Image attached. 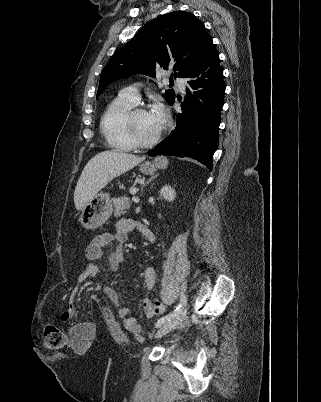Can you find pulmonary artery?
I'll use <instances>...</instances> for the list:
<instances>
[{
    "label": "pulmonary artery",
    "instance_id": "1",
    "mask_svg": "<svg viewBox=\"0 0 321 402\" xmlns=\"http://www.w3.org/2000/svg\"><path fill=\"white\" fill-rule=\"evenodd\" d=\"M174 81L179 85V89L181 91L185 90L186 81L184 78L175 77ZM119 97L125 101L132 103L133 105H136L140 98L138 90L135 86H129V87L123 89L120 92Z\"/></svg>",
    "mask_w": 321,
    "mask_h": 402
}]
</instances>
